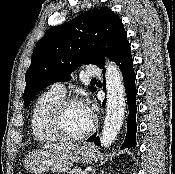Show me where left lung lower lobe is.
<instances>
[{"label": "left lung lower lobe", "mask_w": 175, "mask_h": 174, "mask_svg": "<svg viewBox=\"0 0 175 174\" xmlns=\"http://www.w3.org/2000/svg\"><path fill=\"white\" fill-rule=\"evenodd\" d=\"M115 63L119 66L124 79L127 101L129 106V115L127 120V132L125 136L124 143L122 144V148H132L136 146V94L137 90L135 87V79L136 75L133 69V60L130 52V44H128L122 52L119 54ZM105 70H103V73ZM104 105V103H103ZM88 141H95L96 144L100 145L99 137L94 134L91 136Z\"/></svg>", "instance_id": "obj_1"}]
</instances>
